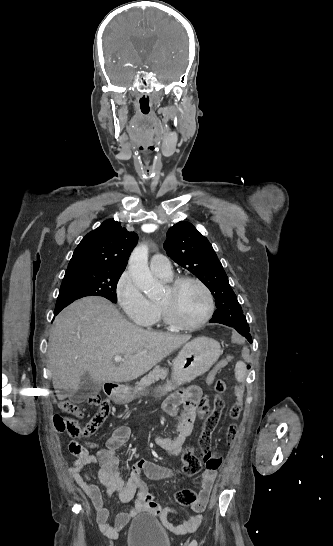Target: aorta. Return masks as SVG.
<instances>
[{"mask_svg":"<svg viewBox=\"0 0 333 546\" xmlns=\"http://www.w3.org/2000/svg\"><path fill=\"white\" fill-rule=\"evenodd\" d=\"M128 269L137 287L148 297L155 293L156 281L148 267V247L137 246L128 262Z\"/></svg>","mask_w":333,"mask_h":546,"instance_id":"aorta-1","label":"aorta"}]
</instances>
